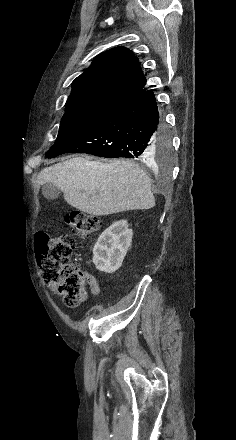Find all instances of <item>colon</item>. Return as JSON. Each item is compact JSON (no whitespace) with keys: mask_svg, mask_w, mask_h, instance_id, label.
Returning <instances> with one entry per match:
<instances>
[{"mask_svg":"<svg viewBox=\"0 0 236 440\" xmlns=\"http://www.w3.org/2000/svg\"><path fill=\"white\" fill-rule=\"evenodd\" d=\"M71 233L50 237L44 232L35 234L38 265L44 283L55 291L68 307H76L86 301L85 273L70 263L75 249V237L88 238L100 228L96 216L80 211L68 212L65 216Z\"/></svg>","mask_w":236,"mask_h":440,"instance_id":"obj_1","label":"colon"}]
</instances>
